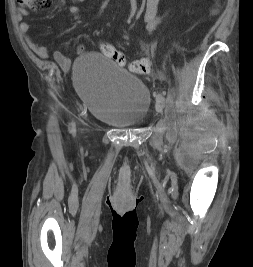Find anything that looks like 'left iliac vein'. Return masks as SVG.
Here are the masks:
<instances>
[{
  "mask_svg": "<svg viewBox=\"0 0 253 267\" xmlns=\"http://www.w3.org/2000/svg\"><path fill=\"white\" fill-rule=\"evenodd\" d=\"M156 111L161 114L163 112V107L161 105V103L157 102L156 103Z\"/></svg>",
  "mask_w": 253,
  "mask_h": 267,
  "instance_id": "4c4485c4",
  "label": "left iliac vein"
}]
</instances>
